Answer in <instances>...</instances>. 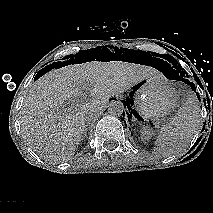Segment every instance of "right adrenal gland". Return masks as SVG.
<instances>
[{
  "label": "right adrenal gland",
  "mask_w": 213,
  "mask_h": 213,
  "mask_svg": "<svg viewBox=\"0 0 213 213\" xmlns=\"http://www.w3.org/2000/svg\"><path fill=\"white\" fill-rule=\"evenodd\" d=\"M88 126H89V123L86 124L85 130L83 133V137H85L87 135Z\"/></svg>",
  "instance_id": "right-adrenal-gland-1"
}]
</instances>
